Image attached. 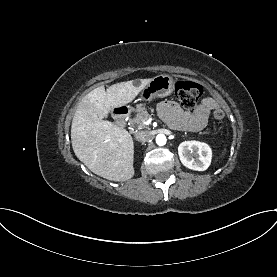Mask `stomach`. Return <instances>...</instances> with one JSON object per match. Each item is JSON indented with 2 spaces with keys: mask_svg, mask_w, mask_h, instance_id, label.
<instances>
[{
  "mask_svg": "<svg viewBox=\"0 0 277 277\" xmlns=\"http://www.w3.org/2000/svg\"><path fill=\"white\" fill-rule=\"evenodd\" d=\"M174 80L169 75H158L142 90V99L150 100L153 97H165L172 93Z\"/></svg>",
  "mask_w": 277,
  "mask_h": 277,
  "instance_id": "obj_1",
  "label": "stomach"
}]
</instances>
